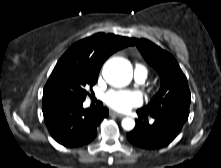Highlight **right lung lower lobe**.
Listing matches in <instances>:
<instances>
[{
	"instance_id": "98d812e1",
	"label": "right lung lower lobe",
	"mask_w": 221,
	"mask_h": 168,
	"mask_svg": "<svg viewBox=\"0 0 221 168\" xmlns=\"http://www.w3.org/2000/svg\"><path fill=\"white\" fill-rule=\"evenodd\" d=\"M42 110L51 136L67 147L91 142L96 137L97 126L109 115L102 103L92 109H84L83 101L59 98L43 99Z\"/></svg>"
}]
</instances>
